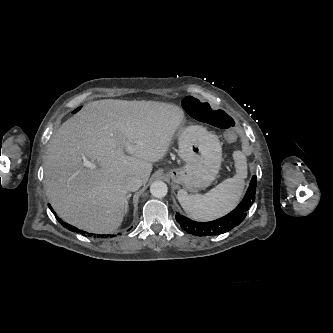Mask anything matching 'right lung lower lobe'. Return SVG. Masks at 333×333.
Masks as SVG:
<instances>
[{"label": "right lung lower lobe", "instance_id": "1", "mask_svg": "<svg viewBox=\"0 0 333 333\" xmlns=\"http://www.w3.org/2000/svg\"><path fill=\"white\" fill-rule=\"evenodd\" d=\"M49 208L51 209V211H53V209H52V207L49 205ZM53 213H55V212H53ZM56 218L58 219V217L56 216ZM59 222L65 227V228H67V229H69V230H71V231H73V232H77V233H81L83 236H92L93 234L92 233H87V232H85V231H80V230H78L76 227H74V226H72V225H69L68 223H65V222H63L61 219H59ZM101 237V238H106V237H113V235H97V237Z\"/></svg>", "mask_w": 333, "mask_h": 333}]
</instances>
